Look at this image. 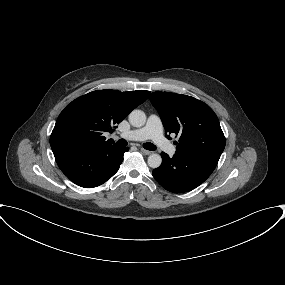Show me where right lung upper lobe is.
<instances>
[{
    "mask_svg": "<svg viewBox=\"0 0 285 285\" xmlns=\"http://www.w3.org/2000/svg\"><path fill=\"white\" fill-rule=\"evenodd\" d=\"M149 91L121 92L97 90L85 94L66 106L57 118L50 137L52 150L58 147L80 146L87 149L117 146L106 140L128 114L148 98Z\"/></svg>",
    "mask_w": 285,
    "mask_h": 285,
    "instance_id": "right-lung-upper-lobe-1",
    "label": "right lung upper lobe"
}]
</instances>
